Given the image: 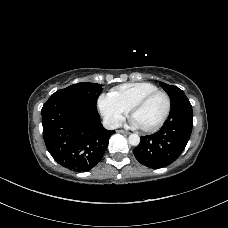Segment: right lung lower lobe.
Wrapping results in <instances>:
<instances>
[{
  "instance_id": "1",
  "label": "right lung lower lobe",
  "mask_w": 228,
  "mask_h": 228,
  "mask_svg": "<svg viewBox=\"0 0 228 228\" xmlns=\"http://www.w3.org/2000/svg\"><path fill=\"white\" fill-rule=\"evenodd\" d=\"M43 136L51 156L76 172L92 169L103 157L110 136L96 105L66 96H51L42 108Z\"/></svg>"
}]
</instances>
